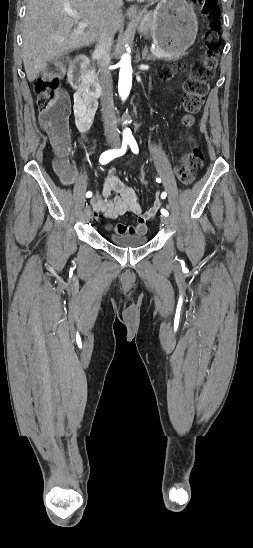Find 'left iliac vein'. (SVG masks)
<instances>
[{"mask_svg":"<svg viewBox=\"0 0 253 548\" xmlns=\"http://www.w3.org/2000/svg\"><path fill=\"white\" fill-rule=\"evenodd\" d=\"M160 219H161V222H162L167 228L170 227L171 221H170L169 217H167V216H161Z\"/></svg>","mask_w":253,"mask_h":548,"instance_id":"obj_1","label":"left iliac vein"}]
</instances>
